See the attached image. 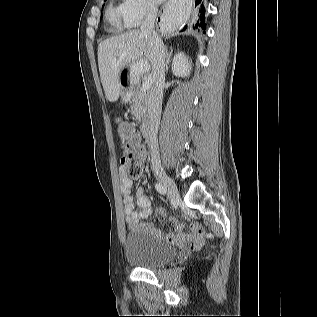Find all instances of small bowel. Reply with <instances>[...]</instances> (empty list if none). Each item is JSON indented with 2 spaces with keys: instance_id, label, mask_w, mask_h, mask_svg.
<instances>
[{
  "instance_id": "obj_1",
  "label": "small bowel",
  "mask_w": 317,
  "mask_h": 317,
  "mask_svg": "<svg viewBox=\"0 0 317 317\" xmlns=\"http://www.w3.org/2000/svg\"><path fill=\"white\" fill-rule=\"evenodd\" d=\"M145 157V152L141 148V159ZM120 177V189L123 197L124 213L126 215V222L130 227L137 226L141 221L147 219L151 213V203L149 198L145 195L142 187L137 189L136 192V205L134 207L133 198L131 196L132 180L128 176L125 167L119 169ZM160 215L166 216V212L163 209L158 211ZM171 223L175 225V231L162 233L161 230L153 226L152 224H144L141 228L147 231L150 235L157 238H164L170 242H180L185 245H199L204 240V230L202 226L193 222L190 224L189 232L184 230V226L179 224L174 217H169Z\"/></svg>"
}]
</instances>
